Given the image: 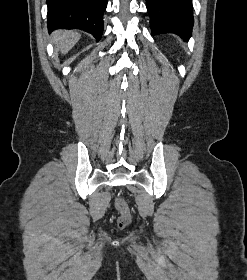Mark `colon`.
Masks as SVG:
<instances>
[{"label": "colon", "mask_w": 247, "mask_h": 280, "mask_svg": "<svg viewBox=\"0 0 247 280\" xmlns=\"http://www.w3.org/2000/svg\"><path fill=\"white\" fill-rule=\"evenodd\" d=\"M115 205L120 214L119 224L124 226L129 220V207L122 197L116 198Z\"/></svg>", "instance_id": "colon-1"}]
</instances>
